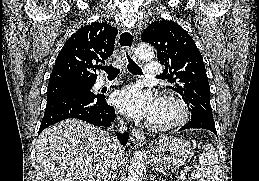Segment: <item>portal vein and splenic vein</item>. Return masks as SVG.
<instances>
[{"mask_svg":"<svg viewBox=\"0 0 259 181\" xmlns=\"http://www.w3.org/2000/svg\"><path fill=\"white\" fill-rule=\"evenodd\" d=\"M181 177L184 178L185 177L184 174H181Z\"/></svg>","mask_w":259,"mask_h":181,"instance_id":"portal-vein-and-splenic-vein-1","label":"portal vein and splenic vein"}]
</instances>
